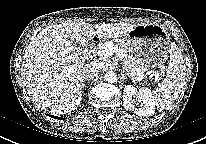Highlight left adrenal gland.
Masks as SVG:
<instances>
[{
	"mask_svg": "<svg viewBox=\"0 0 206 144\" xmlns=\"http://www.w3.org/2000/svg\"><path fill=\"white\" fill-rule=\"evenodd\" d=\"M128 75V74H127ZM127 75L126 74H123L122 75V77H124V78H127ZM129 77V76H128ZM130 78V77H129ZM132 79V78H131ZM132 80H134V79H132Z\"/></svg>",
	"mask_w": 206,
	"mask_h": 144,
	"instance_id": "a2214340",
	"label": "left adrenal gland"
}]
</instances>
